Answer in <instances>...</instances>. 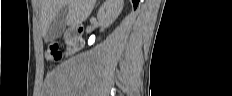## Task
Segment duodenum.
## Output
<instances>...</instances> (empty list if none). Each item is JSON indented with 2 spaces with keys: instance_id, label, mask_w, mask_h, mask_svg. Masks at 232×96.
Masks as SVG:
<instances>
[{
  "instance_id": "duodenum-1",
  "label": "duodenum",
  "mask_w": 232,
  "mask_h": 96,
  "mask_svg": "<svg viewBox=\"0 0 232 96\" xmlns=\"http://www.w3.org/2000/svg\"><path fill=\"white\" fill-rule=\"evenodd\" d=\"M83 27L81 25L69 27L65 31V37L68 41V55L72 56L78 53L82 48Z\"/></svg>"
}]
</instances>
